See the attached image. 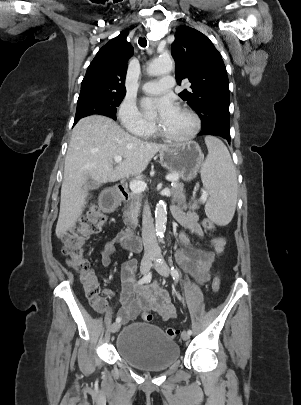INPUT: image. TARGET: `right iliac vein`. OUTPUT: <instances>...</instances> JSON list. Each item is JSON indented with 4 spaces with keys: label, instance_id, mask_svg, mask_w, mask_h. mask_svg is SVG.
I'll use <instances>...</instances> for the list:
<instances>
[{
    "label": "right iliac vein",
    "instance_id": "obj_1",
    "mask_svg": "<svg viewBox=\"0 0 301 405\" xmlns=\"http://www.w3.org/2000/svg\"><path fill=\"white\" fill-rule=\"evenodd\" d=\"M149 271V257H145L141 263L140 266V272L142 275L147 274ZM121 327V324L118 322H115L111 325L110 331L111 333H116Z\"/></svg>",
    "mask_w": 301,
    "mask_h": 405
}]
</instances>
